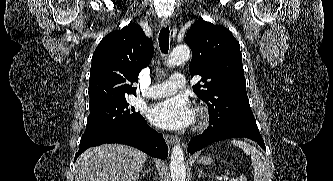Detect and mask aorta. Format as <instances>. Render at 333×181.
<instances>
[{"instance_id":"aorta-1","label":"aorta","mask_w":333,"mask_h":181,"mask_svg":"<svg viewBox=\"0 0 333 181\" xmlns=\"http://www.w3.org/2000/svg\"><path fill=\"white\" fill-rule=\"evenodd\" d=\"M190 57V49L185 46H177L171 52L167 64L169 67L178 65L187 61ZM170 172L172 181H185L186 168L184 163L183 151L180 145H175L172 148L170 157Z\"/></svg>"}]
</instances>
